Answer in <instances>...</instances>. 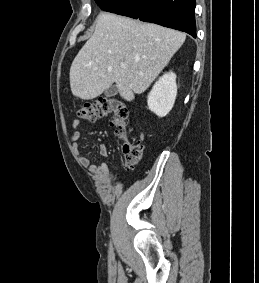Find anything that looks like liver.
<instances>
[{
  "instance_id": "1",
  "label": "liver",
  "mask_w": 259,
  "mask_h": 283,
  "mask_svg": "<svg viewBox=\"0 0 259 283\" xmlns=\"http://www.w3.org/2000/svg\"><path fill=\"white\" fill-rule=\"evenodd\" d=\"M185 39L174 29L100 13L93 35L72 62V94L90 100L116 83L120 96L132 101L151 85Z\"/></svg>"
}]
</instances>
